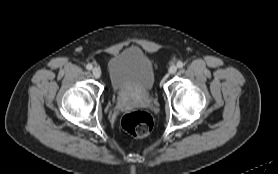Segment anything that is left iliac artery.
<instances>
[{
  "label": "left iliac artery",
  "instance_id": "1",
  "mask_svg": "<svg viewBox=\"0 0 278 174\" xmlns=\"http://www.w3.org/2000/svg\"><path fill=\"white\" fill-rule=\"evenodd\" d=\"M184 66V63L182 61L177 62V67L182 68Z\"/></svg>",
  "mask_w": 278,
  "mask_h": 174
}]
</instances>
